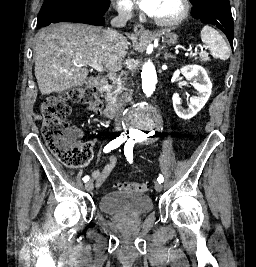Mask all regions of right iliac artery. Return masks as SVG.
Here are the masks:
<instances>
[{
  "mask_svg": "<svg viewBox=\"0 0 256 267\" xmlns=\"http://www.w3.org/2000/svg\"><path fill=\"white\" fill-rule=\"evenodd\" d=\"M125 140H126V137L124 136L117 137L116 139L112 140L108 145H106L103 151L105 153H108L111 150L118 148L123 142H125ZM83 181L84 182L89 181V176H85L83 178Z\"/></svg>",
  "mask_w": 256,
  "mask_h": 267,
  "instance_id": "obj_1",
  "label": "right iliac artery"
}]
</instances>
